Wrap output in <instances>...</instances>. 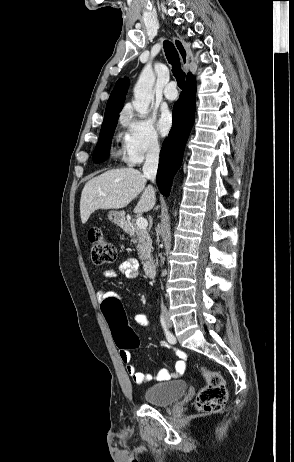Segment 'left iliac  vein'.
I'll return each mask as SVG.
<instances>
[{"label":"left iliac vein","instance_id":"left-iliac-vein-1","mask_svg":"<svg viewBox=\"0 0 294 462\" xmlns=\"http://www.w3.org/2000/svg\"><path fill=\"white\" fill-rule=\"evenodd\" d=\"M167 324H168V327H171V326H172V323H171V321L169 320V315H167Z\"/></svg>","mask_w":294,"mask_h":462}]
</instances>
